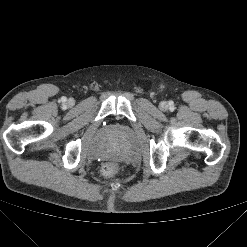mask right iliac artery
Wrapping results in <instances>:
<instances>
[{
    "mask_svg": "<svg viewBox=\"0 0 247 247\" xmlns=\"http://www.w3.org/2000/svg\"><path fill=\"white\" fill-rule=\"evenodd\" d=\"M65 100H66V99L63 97V98H62V101H65Z\"/></svg>",
    "mask_w": 247,
    "mask_h": 247,
    "instance_id": "right-iliac-artery-1",
    "label": "right iliac artery"
}]
</instances>
